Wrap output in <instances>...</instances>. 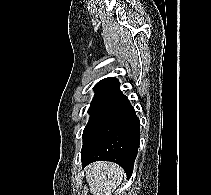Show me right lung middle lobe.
<instances>
[{"instance_id": "obj_1", "label": "right lung middle lobe", "mask_w": 211, "mask_h": 195, "mask_svg": "<svg viewBox=\"0 0 211 195\" xmlns=\"http://www.w3.org/2000/svg\"><path fill=\"white\" fill-rule=\"evenodd\" d=\"M112 96L113 94L111 93H104V92L95 93V96L88 110V112L90 113V119L83 131V140L90 133L98 117L100 116V114L102 113L103 109L105 108L109 100L112 98Z\"/></svg>"}]
</instances>
